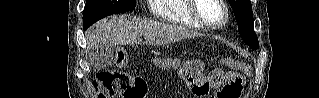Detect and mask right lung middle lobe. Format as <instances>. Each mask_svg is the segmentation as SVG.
<instances>
[{
  "label": "right lung middle lobe",
  "instance_id": "right-lung-middle-lobe-1",
  "mask_svg": "<svg viewBox=\"0 0 319 98\" xmlns=\"http://www.w3.org/2000/svg\"><path fill=\"white\" fill-rule=\"evenodd\" d=\"M136 0H87L83 13V27L111 15L132 10Z\"/></svg>",
  "mask_w": 319,
  "mask_h": 98
}]
</instances>
